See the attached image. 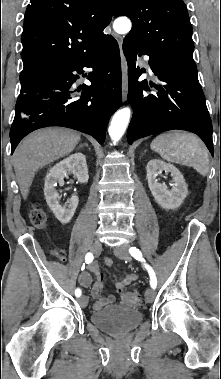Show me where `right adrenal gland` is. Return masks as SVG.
I'll return each mask as SVG.
<instances>
[{
    "mask_svg": "<svg viewBox=\"0 0 221 379\" xmlns=\"http://www.w3.org/2000/svg\"><path fill=\"white\" fill-rule=\"evenodd\" d=\"M85 145H86V144H84V145H80L79 148H81V147H83V146H85Z\"/></svg>",
    "mask_w": 221,
    "mask_h": 379,
    "instance_id": "2a0ac1e0",
    "label": "right adrenal gland"
}]
</instances>
